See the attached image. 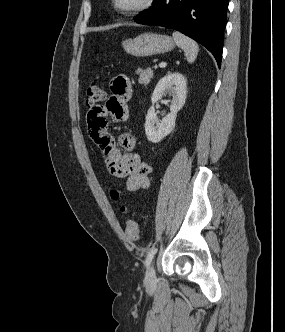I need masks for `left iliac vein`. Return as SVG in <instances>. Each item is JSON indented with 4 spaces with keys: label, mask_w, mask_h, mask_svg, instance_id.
I'll use <instances>...</instances> for the list:
<instances>
[{
    "label": "left iliac vein",
    "mask_w": 285,
    "mask_h": 332,
    "mask_svg": "<svg viewBox=\"0 0 285 332\" xmlns=\"http://www.w3.org/2000/svg\"><path fill=\"white\" fill-rule=\"evenodd\" d=\"M156 282V274H155V269L153 266H149L146 271L145 275V283L147 285H153Z\"/></svg>",
    "instance_id": "obj_1"
}]
</instances>
